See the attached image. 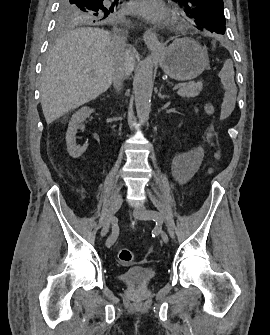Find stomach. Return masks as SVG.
Wrapping results in <instances>:
<instances>
[{"label":"stomach","mask_w":270,"mask_h":335,"mask_svg":"<svg viewBox=\"0 0 270 335\" xmlns=\"http://www.w3.org/2000/svg\"><path fill=\"white\" fill-rule=\"evenodd\" d=\"M160 68L173 80H193L209 70L208 54L192 38H178L168 48H156Z\"/></svg>","instance_id":"1"}]
</instances>
